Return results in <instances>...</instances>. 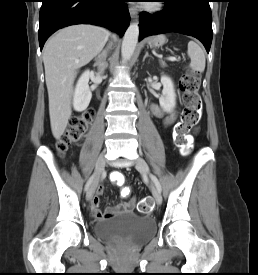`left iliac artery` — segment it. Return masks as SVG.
Instances as JSON below:
<instances>
[{
	"mask_svg": "<svg viewBox=\"0 0 258 275\" xmlns=\"http://www.w3.org/2000/svg\"><path fill=\"white\" fill-rule=\"evenodd\" d=\"M151 178H152L153 182L155 183L156 187L158 188V190L161 192V185H160L158 179L154 175H152Z\"/></svg>",
	"mask_w": 258,
	"mask_h": 275,
	"instance_id": "1",
	"label": "left iliac artery"
}]
</instances>
